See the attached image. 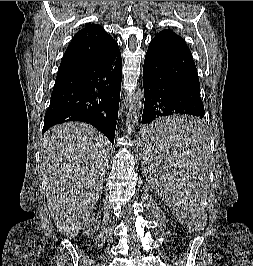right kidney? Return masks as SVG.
Returning <instances> with one entry per match:
<instances>
[{"label":"right kidney","mask_w":253,"mask_h":266,"mask_svg":"<svg viewBox=\"0 0 253 266\" xmlns=\"http://www.w3.org/2000/svg\"><path fill=\"white\" fill-rule=\"evenodd\" d=\"M99 228V220L98 218L91 217L84 225V233L86 235H92L94 232H96Z\"/></svg>","instance_id":"obj_1"}]
</instances>
